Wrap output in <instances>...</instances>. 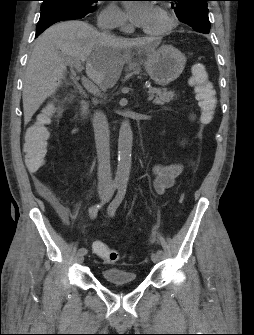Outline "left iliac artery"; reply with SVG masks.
I'll use <instances>...</instances> for the list:
<instances>
[{
	"label": "left iliac artery",
	"instance_id": "left-iliac-artery-1",
	"mask_svg": "<svg viewBox=\"0 0 254 335\" xmlns=\"http://www.w3.org/2000/svg\"><path fill=\"white\" fill-rule=\"evenodd\" d=\"M126 188H127L126 183L119 184L117 195H116L115 199L110 203V205L107 209L108 214L110 216L113 217L115 215L116 210L118 209V207L122 203V201L125 197V194H126ZM156 254H158L160 257H162L164 255V250L158 248L156 250Z\"/></svg>",
	"mask_w": 254,
	"mask_h": 335
}]
</instances>
